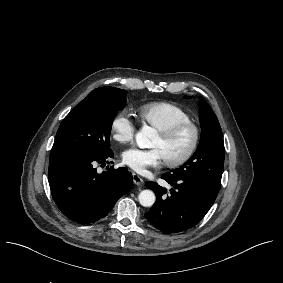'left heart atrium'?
Here are the masks:
<instances>
[{
  "mask_svg": "<svg viewBox=\"0 0 283 283\" xmlns=\"http://www.w3.org/2000/svg\"><path fill=\"white\" fill-rule=\"evenodd\" d=\"M122 158L124 163L137 172H143L149 167H158L164 160L158 148L150 150L129 148L123 152Z\"/></svg>",
  "mask_w": 283,
  "mask_h": 283,
  "instance_id": "left-heart-atrium-1",
  "label": "left heart atrium"
}]
</instances>
